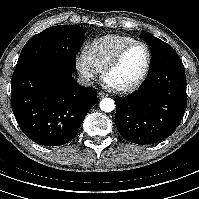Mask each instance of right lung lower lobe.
<instances>
[{"label":"right lung lower lobe","mask_w":199,"mask_h":199,"mask_svg":"<svg viewBox=\"0 0 199 199\" xmlns=\"http://www.w3.org/2000/svg\"><path fill=\"white\" fill-rule=\"evenodd\" d=\"M72 74L53 65L12 76V111L32 141L44 146L69 142L98 102L96 90L79 85Z\"/></svg>","instance_id":"98d812e1"}]
</instances>
